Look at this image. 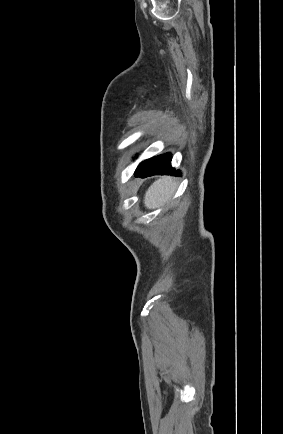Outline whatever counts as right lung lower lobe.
Instances as JSON below:
<instances>
[{"mask_svg": "<svg viewBox=\"0 0 283 434\" xmlns=\"http://www.w3.org/2000/svg\"><path fill=\"white\" fill-rule=\"evenodd\" d=\"M171 158V154L166 153L146 160L138 166L135 176L145 178L156 174L180 175V171H176L171 167Z\"/></svg>", "mask_w": 283, "mask_h": 434, "instance_id": "1", "label": "right lung lower lobe"}]
</instances>
